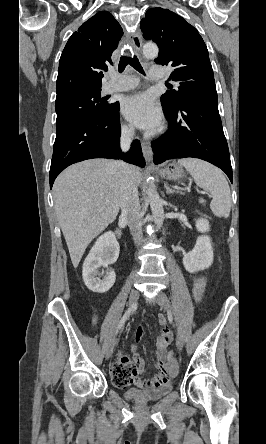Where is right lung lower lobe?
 Segmentation results:
<instances>
[{
	"mask_svg": "<svg viewBox=\"0 0 266 444\" xmlns=\"http://www.w3.org/2000/svg\"><path fill=\"white\" fill-rule=\"evenodd\" d=\"M120 118L119 103L106 117L75 125L56 135L51 168L50 188L58 174L66 167L92 158L122 159L144 167L145 161L138 140H134L128 153H121L119 146Z\"/></svg>",
	"mask_w": 266,
	"mask_h": 444,
	"instance_id": "1",
	"label": "right lung lower lobe"
}]
</instances>
